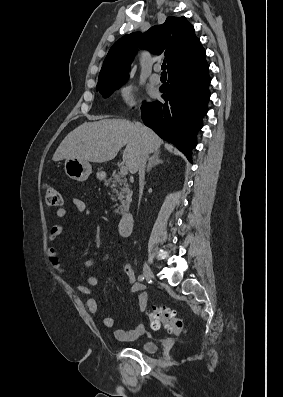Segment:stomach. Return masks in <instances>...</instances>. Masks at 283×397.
Wrapping results in <instances>:
<instances>
[{"label": "stomach", "mask_w": 283, "mask_h": 397, "mask_svg": "<svg viewBox=\"0 0 283 397\" xmlns=\"http://www.w3.org/2000/svg\"><path fill=\"white\" fill-rule=\"evenodd\" d=\"M65 173L76 181H85L92 173V167L86 160L67 158L64 164Z\"/></svg>", "instance_id": "stomach-1"}]
</instances>
